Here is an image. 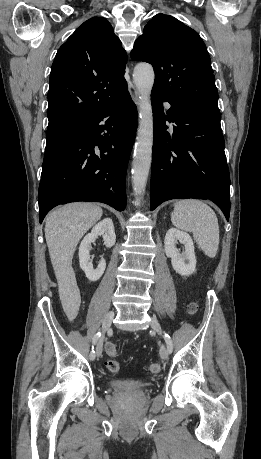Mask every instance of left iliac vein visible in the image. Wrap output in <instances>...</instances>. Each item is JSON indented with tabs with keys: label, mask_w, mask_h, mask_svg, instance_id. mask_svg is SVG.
I'll return each instance as SVG.
<instances>
[{
	"label": "left iliac vein",
	"mask_w": 261,
	"mask_h": 459,
	"mask_svg": "<svg viewBox=\"0 0 261 459\" xmlns=\"http://www.w3.org/2000/svg\"><path fill=\"white\" fill-rule=\"evenodd\" d=\"M150 325H151V328L157 332V333H161V326H160V323L158 322V320L156 318H151V321H150ZM159 354H160V357L163 359V360H166L168 358V350L166 348L165 345H162L160 347V351H159Z\"/></svg>",
	"instance_id": "obj_1"
}]
</instances>
